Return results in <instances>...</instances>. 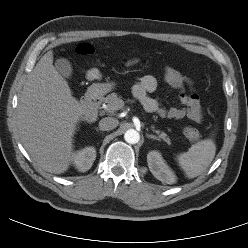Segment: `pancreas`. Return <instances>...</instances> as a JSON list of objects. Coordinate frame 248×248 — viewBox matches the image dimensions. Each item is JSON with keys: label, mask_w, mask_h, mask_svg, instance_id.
<instances>
[{"label": "pancreas", "mask_w": 248, "mask_h": 248, "mask_svg": "<svg viewBox=\"0 0 248 248\" xmlns=\"http://www.w3.org/2000/svg\"><path fill=\"white\" fill-rule=\"evenodd\" d=\"M104 102L107 104L108 111H116L123 108L124 106L123 100L121 99V97H118L116 93H111L107 95L104 99ZM155 132L159 135V138L163 139L165 142L170 144V139L167 134L158 130H156Z\"/></svg>", "instance_id": "cf45deb5"}]
</instances>
